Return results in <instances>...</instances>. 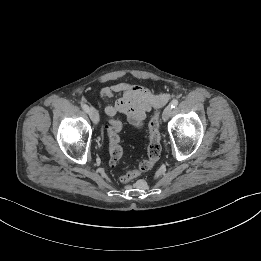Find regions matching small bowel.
<instances>
[{"label": "small bowel", "instance_id": "small-bowel-1", "mask_svg": "<svg viewBox=\"0 0 261 261\" xmlns=\"http://www.w3.org/2000/svg\"><path fill=\"white\" fill-rule=\"evenodd\" d=\"M100 97L104 100H112L105 107V113L109 117L123 113L137 128L143 126L147 112L156 103L165 102L169 98L167 94L154 95L148 89L129 82H118L102 88Z\"/></svg>", "mask_w": 261, "mask_h": 261}]
</instances>
